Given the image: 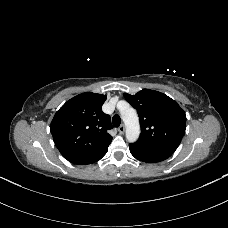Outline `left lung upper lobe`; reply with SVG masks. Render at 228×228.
<instances>
[{
	"mask_svg": "<svg viewBox=\"0 0 228 228\" xmlns=\"http://www.w3.org/2000/svg\"><path fill=\"white\" fill-rule=\"evenodd\" d=\"M124 97L137 110L140 119L141 135L133 144L174 153L186 129L184 110L167 95L150 89L135 95L124 93Z\"/></svg>",
	"mask_w": 228,
	"mask_h": 228,
	"instance_id": "left-lung-upper-lobe-1",
	"label": "left lung upper lobe"
}]
</instances>
